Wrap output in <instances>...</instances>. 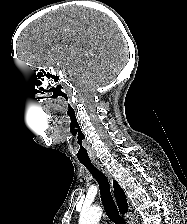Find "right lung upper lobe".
<instances>
[{
  "mask_svg": "<svg viewBox=\"0 0 187 224\" xmlns=\"http://www.w3.org/2000/svg\"><path fill=\"white\" fill-rule=\"evenodd\" d=\"M114 191H115V196L119 206V210L121 213H125L128 210L126 196L124 191L122 190V188L119 186V184L116 181H114Z\"/></svg>",
  "mask_w": 187,
  "mask_h": 224,
  "instance_id": "obj_1",
  "label": "right lung upper lobe"
}]
</instances>
